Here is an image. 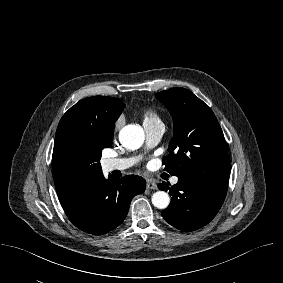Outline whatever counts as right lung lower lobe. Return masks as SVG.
<instances>
[{"instance_id": "98d812e1", "label": "right lung lower lobe", "mask_w": 283, "mask_h": 283, "mask_svg": "<svg viewBox=\"0 0 283 283\" xmlns=\"http://www.w3.org/2000/svg\"><path fill=\"white\" fill-rule=\"evenodd\" d=\"M145 187L146 181L140 176L116 179L109 175L107 180L100 173L86 180L61 204L77 228L103 235L123 222L132 198L144 192Z\"/></svg>"}]
</instances>
